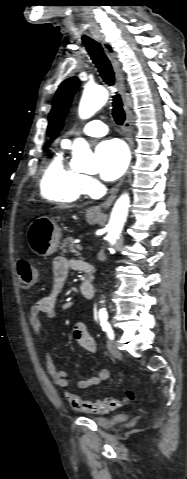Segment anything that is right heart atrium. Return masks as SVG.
Returning a JSON list of instances; mask_svg holds the SVG:
<instances>
[{"instance_id":"obj_1","label":"right heart atrium","mask_w":187,"mask_h":479,"mask_svg":"<svg viewBox=\"0 0 187 479\" xmlns=\"http://www.w3.org/2000/svg\"><path fill=\"white\" fill-rule=\"evenodd\" d=\"M98 185V182L91 176L83 175L82 177V187L85 192L87 193H92L96 186Z\"/></svg>"}]
</instances>
